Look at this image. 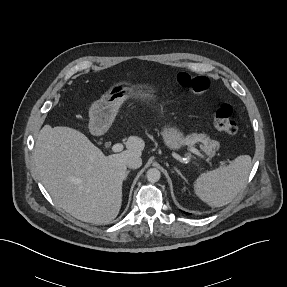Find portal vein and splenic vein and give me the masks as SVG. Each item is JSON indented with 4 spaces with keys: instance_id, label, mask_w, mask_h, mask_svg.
Masks as SVG:
<instances>
[{
    "instance_id": "obj_1",
    "label": "portal vein and splenic vein",
    "mask_w": 287,
    "mask_h": 287,
    "mask_svg": "<svg viewBox=\"0 0 287 287\" xmlns=\"http://www.w3.org/2000/svg\"><path fill=\"white\" fill-rule=\"evenodd\" d=\"M123 150V145L121 143H116L112 146V151L113 152H120ZM188 150L194 154H196L197 156H200L201 158H204L203 154L196 148L190 146L188 148ZM206 161L211 164L210 160L208 158H206Z\"/></svg>"
}]
</instances>
